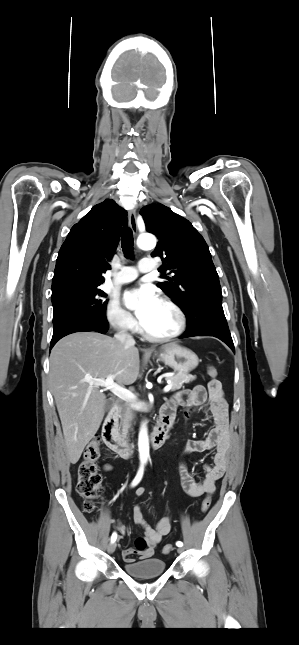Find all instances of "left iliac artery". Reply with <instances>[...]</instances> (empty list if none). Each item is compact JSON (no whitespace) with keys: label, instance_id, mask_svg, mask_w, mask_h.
<instances>
[{"label":"left iliac artery","instance_id":"44dca946","mask_svg":"<svg viewBox=\"0 0 299 645\" xmlns=\"http://www.w3.org/2000/svg\"><path fill=\"white\" fill-rule=\"evenodd\" d=\"M176 545H177L178 547H182V546H183V543H182L181 541H177V542H176Z\"/></svg>","mask_w":299,"mask_h":645}]
</instances>
